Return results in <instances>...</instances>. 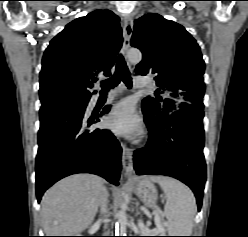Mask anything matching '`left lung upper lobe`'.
<instances>
[{"label":"left lung upper lobe","instance_id":"left-lung-upper-lobe-1","mask_svg":"<svg viewBox=\"0 0 248 237\" xmlns=\"http://www.w3.org/2000/svg\"><path fill=\"white\" fill-rule=\"evenodd\" d=\"M131 45L143 54L135 72L154 75L160 87L156 94L168 95L142 101V109L153 121L163 123L178 109L204 108L205 64L196 40L182 25L156 13L146 14L135 20Z\"/></svg>","mask_w":248,"mask_h":237}]
</instances>
